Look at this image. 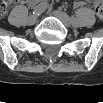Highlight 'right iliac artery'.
<instances>
[{"mask_svg": "<svg viewBox=\"0 0 103 103\" xmlns=\"http://www.w3.org/2000/svg\"><path fill=\"white\" fill-rule=\"evenodd\" d=\"M48 4L46 2L40 3L34 7L33 15H40L46 8Z\"/></svg>", "mask_w": 103, "mask_h": 103, "instance_id": "obj_1", "label": "right iliac artery"}]
</instances>
